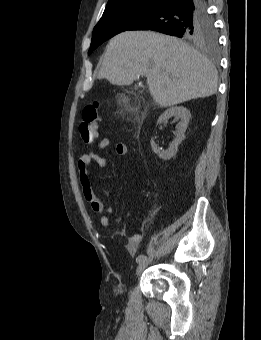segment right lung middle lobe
<instances>
[{
    "label": "right lung middle lobe",
    "mask_w": 261,
    "mask_h": 340,
    "mask_svg": "<svg viewBox=\"0 0 261 340\" xmlns=\"http://www.w3.org/2000/svg\"><path fill=\"white\" fill-rule=\"evenodd\" d=\"M160 2L150 0L135 1L105 10L93 30L89 54L104 41L120 32L129 30L143 17L152 12ZM181 38L195 43L215 46L217 33L212 18L205 14L203 17L193 21L184 30Z\"/></svg>",
    "instance_id": "1"
}]
</instances>
